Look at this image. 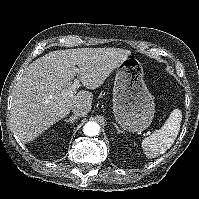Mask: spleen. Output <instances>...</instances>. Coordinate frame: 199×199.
<instances>
[{
    "label": "spleen",
    "instance_id": "obj_1",
    "mask_svg": "<svg viewBox=\"0 0 199 199\" xmlns=\"http://www.w3.org/2000/svg\"><path fill=\"white\" fill-rule=\"evenodd\" d=\"M181 121V110L174 109L162 128L142 141V148L147 158L164 154L172 146L180 130Z\"/></svg>",
    "mask_w": 199,
    "mask_h": 199
}]
</instances>
